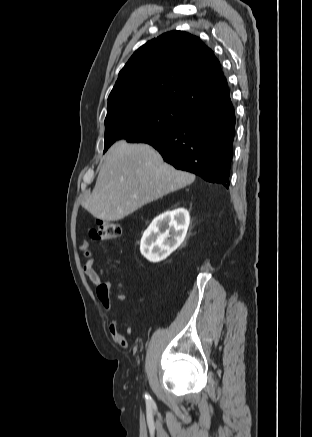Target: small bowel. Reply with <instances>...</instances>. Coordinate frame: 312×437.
I'll list each match as a JSON object with an SVG mask.
<instances>
[{
    "label": "small bowel",
    "instance_id": "small-bowel-1",
    "mask_svg": "<svg viewBox=\"0 0 312 437\" xmlns=\"http://www.w3.org/2000/svg\"><path fill=\"white\" fill-rule=\"evenodd\" d=\"M79 250L82 252L83 256L86 257V261L83 265V271L86 277L91 283L96 286L97 296L104 307L109 313H114L113 303L111 300V290L110 284L108 282L102 281L99 273L94 268V263L96 260L95 254L89 248V244L86 240H82L79 245ZM109 332L112 339L121 347L127 348L129 346L128 340L120 333L118 322L116 317L112 318L109 326Z\"/></svg>",
    "mask_w": 312,
    "mask_h": 437
}]
</instances>
